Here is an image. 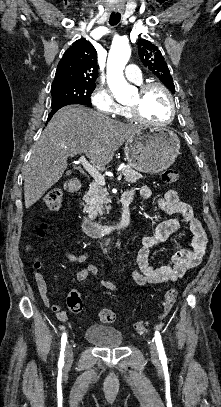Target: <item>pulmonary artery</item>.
I'll return each mask as SVG.
<instances>
[{"mask_svg": "<svg viewBox=\"0 0 221 407\" xmlns=\"http://www.w3.org/2000/svg\"><path fill=\"white\" fill-rule=\"evenodd\" d=\"M126 77L135 82V83H141L142 82V75L138 67L134 64H129L126 66Z\"/></svg>", "mask_w": 221, "mask_h": 407, "instance_id": "e3ab8cb5", "label": "pulmonary artery"}]
</instances>
